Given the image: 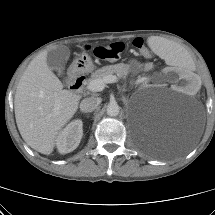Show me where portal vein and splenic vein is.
<instances>
[{"label": "portal vein and splenic vein", "instance_id": "18ae733b", "mask_svg": "<svg viewBox=\"0 0 215 215\" xmlns=\"http://www.w3.org/2000/svg\"><path fill=\"white\" fill-rule=\"evenodd\" d=\"M117 81V77L115 75H107L102 79H95L88 83L87 88L93 92L102 91L105 88V84L115 83Z\"/></svg>", "mask_w": 215, "mask_h": 215}]
</instances>
